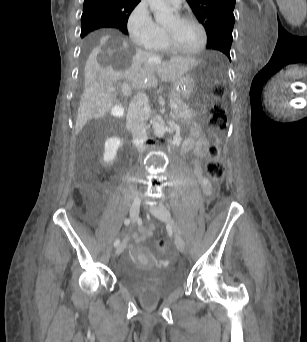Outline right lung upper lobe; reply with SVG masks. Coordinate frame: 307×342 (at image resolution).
Returning <instances> with one entry per match:
<instances>
[{"label":"right lung upper lobe","mask_w":307,"mask_h":342,"mask_svg":"<svg viewBox=\"0 0 307 342\" xmlns=\"http://www.w3.org/2000/svg\"><path fill=\"white\" fill-rule=\"evenodd\" d=\"M140 0H84L83 12L104 14L110 20L107 27L127 31V21L130 13Z\"/></svg>","instance_id":"obj_1"}]
</instances>
